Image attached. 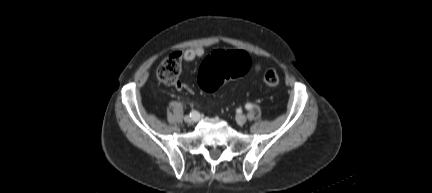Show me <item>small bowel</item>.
Masks as SVG:
<instances>
[{"label":"small bowel","mask_w":432,"mask_h":193,"mask_svg":"<svg viewBox=\"0 0 432 193\" xmlns=\"http://www.w3.org/2000/svg\"><path fill=\"white\" fill-rule=\"evenodd\" d=\"M205 53V50L203 47H195V48H190L187 49L186 51L183 52L182 57L184 59V61L186 62H191L194 61L196 59L201 58ZM255 70H259L258 66H255ZM176 87L178 89L182 88V84L181 83H177Z\"/></svg>","instance_id":"1"}]
</instances>
